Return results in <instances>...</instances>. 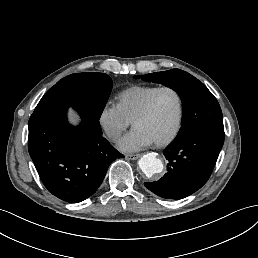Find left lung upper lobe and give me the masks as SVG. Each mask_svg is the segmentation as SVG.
<instances>
[{"mask_svg": "<svg viewBox=\"0 0 258 258\" xmlns=\"http://www.w3.org/2000/svg\"><path fill=\"white\" fill-rule=\"evenodd\" d=\"M134 77L163 84L179 94L182 100V127L174 141L187 138L202 129L224 130L218 101L207 87L191 74L172 69Z\"/></svg>", "mask_w": 258, "mask_h": 258, "instance_id": "obj_1", "label": "left lung upper lobe"}]
</instances>
